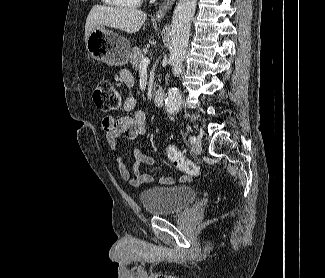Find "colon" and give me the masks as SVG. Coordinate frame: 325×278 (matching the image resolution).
<instances>
[{"instance_id": "5ec220e1", "label": "colon", "mask_w": 325, "mask_h": 278, "mask_svg": "<svg viewBox=\"0 0 325 278\" xmlns=\"http://www.w3.org/2000/svg\"><path fill=\"white\" fill-rule=\"evenodd\" d=\"M92 97L95 105L101 111H114L121 105L120 92L108 80H100L96 83ZM166 154L173 166L185 173L186 178L201 175L200 168L192 161L186 159L176 146L172 144L167 145Z\"/></svg>"}]
</instances>
